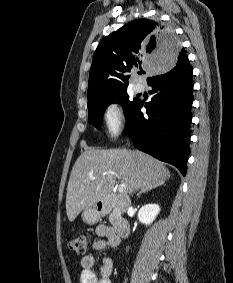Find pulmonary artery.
I'll use <instances>...</instances> for the list:
<instances>
[{
    "instance_id": "1",
    "label": "pulmonary artery",
    "mask_w": 233,
    "mask_h": 283,
    "mask_svg": "<svg viewBox=\"0 0 233 283\" xmlns=\"http://www.w3.org/2000/svg\"><path fill=\"white\" fill-rule=\"evenodd\" d=\"M134 91L137 92V93H140L143 91V86L139 83L135 84L134 86Z\"/></svg>"
}]
</instances>
